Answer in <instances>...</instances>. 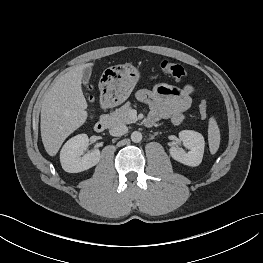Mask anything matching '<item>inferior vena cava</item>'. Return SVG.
I'll return each instance as SVG.
<instances>
[{"label":"inferior vena cava","instance_id":"obj_1","mask_svg":"<svg viewBox=\"0 0 263 263\" xmlns=\"http://www.w3.org/2000/svg\"><path fill=\"white\" fill-rule=\"evenodd\" d=\"M127 132H128V128L124 124L113 125L109 130V133L112 136H122Z\"/></svg>","mask_w":263,"mask_h":263}]
</instances>
